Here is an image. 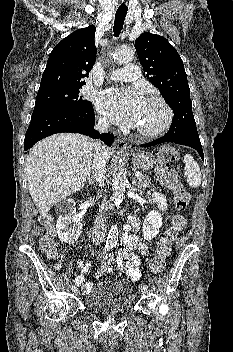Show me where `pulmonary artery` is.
<instances>
[{"instance_id":"obj_1","label":"pulmonary artery","mask_w":233,"mask_h":352,"mask_svg":"<svg viewBox=\"0 0 233 352\" xmlns=\"http://www.w3.org/2000/svg\"><path fill=\"white\" fill-rule=\"evenodd\" d=\"M140 77V71L138 66L133 64H128L121 69L114 70L108 76L110 80L121 81V82H131L135 81Z\"/></svg>"}]
</instances>
